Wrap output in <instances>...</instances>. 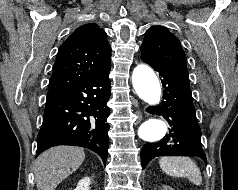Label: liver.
<instances>
[{"label": "liver", "mask_w": 238, "mask_h": 190, "mask_svg": "<svg viewBox=\"0 0 238 190\" xmlns=\"http://www.w3.org/2000/svg\"><path fill=\"white\" fill-rule=\"evenodd\" d=\"M85 159L84 150L73 146H56L44 151L35 161L38 190H55Z\"/></svg>", "instance_id": "6515ba94"}]
</instances>
